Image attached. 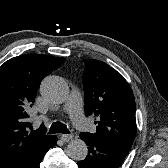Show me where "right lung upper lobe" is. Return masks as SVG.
Returning a JSON list of instances; mask_svg holds the SVG:
<instances>
[{"label": "right lung upper lobe", "instance_id": "cb5924a9", "mask_svg": "<svg viewBox=\"0 0 168 168\" xmlns=\"http://www.w3.org/2000/svg\"><path fill=\"white\" fill-rule=\"evenodd\" d=\"M64 58L25 54L0 66V168H28L51 146L46 129L28 132L27 107L32 105L41 80Z\"/></svg>", "mask_w": 168, "mask_h": 168}]
</instances>
